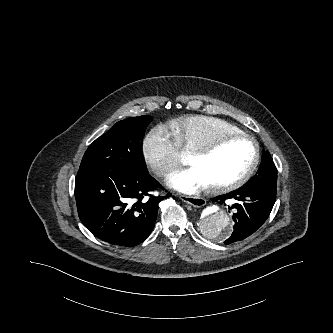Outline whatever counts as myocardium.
I'll list each match as a JSON object with an SVG mask.
<instances>
[{
  "mask_svg": "<svg viewBox=\"0 0 333 333\" xmlns=\"http://www.w3.org/2000/svg\"><path fill=\"white\" fill-rule=\"evenodd\" d=\"M235 139H244L250 141L254 145L255 153L253 160L250 164V166L247 168V170L240 175L238 178L222 183L217 185H210L209 188L211 191L215 193H224L229 192L232 190H236L240 187H242L244 184H246L254 172L256 171L258 164L260 162V144L257 141V139L247 133L239 132V133H223L219 134L210 140L206 141L205 143L199 145L195 149H193L190 154L191 156H206L212 153L217 147H219L222 143L229 141V140H235Z\"/></svg>",
  "mask_w": 333,
  "mask_h": 333,
  "instance_id": "obj_1",
  "label": "myocardium"
}]
</instances>
